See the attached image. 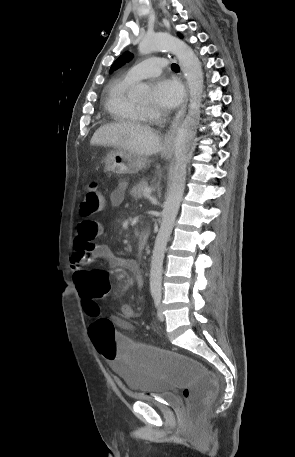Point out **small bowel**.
<instances>
[{
	"mask_svg": "<svg viewBox=\"0 0 295 457\" xmlns=\"http://www.w3.org/2000/svg\"><path fill=\"white\" fill-rule=\"evenodd\" d=\"M124 197L125 187L120 185L110 194L111 205L120 206L124 201ZM103 232V226L95 220L84 219L77 224L74 239L75 252L70 261V268L74 284L80 295L82 287L87 284V272L93 271L87 270V267L97 259L105 260L111 267L126 266L132 272L137 285L143 286V277L135 262L122 259L115 255L108 245L95 242V238L102 235ZM120 310L122 316L126 319L135 317V311L130 304H123ZM112 322L119 328L131 329L130 323L124 319L113 317ZM129 341L132 340L129 338ZM109 361L113 364L112 360Z\"/></svg>",
	"mask_w": 295,
	"mask_h": 457,
	"instance_id": "small-bowel-1",
	"label": "small bowel"
}]
</instances>
